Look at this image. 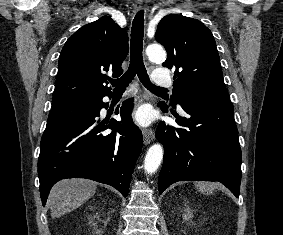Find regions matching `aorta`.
Wrapping results in <instances>:
<instances>
[{
  "instance_id": "762f6f07",
  "label": "aorta",
  "mask_w": 283,
  "mask_h": 235,
  "mask_svg": "<svg viewBox=\"0 0 283 235\" xmlns=\"http://www.w3.org/2000/svg\"><path fill=\"white\" fill-rule=\"evenodd\" d=\"M146 54L150 60L153 61H164L166 59L165 50L161 45L152 44L146 49ZM163 159V147L157 143L152 145L146 154L144 160V170L148 174H153L159 168Z\"/></svg>"
}]
</instances>
